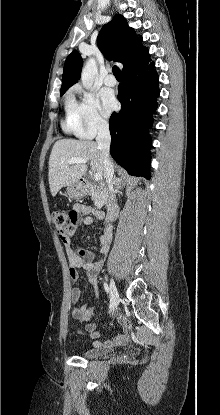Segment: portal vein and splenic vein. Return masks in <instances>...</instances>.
<instances>
[{
  "mask_svg": "<svg viewBox=\"0 0 220 415\" xmlns=\"http://www.w3.org/2000/svg\"><path fill=\"white\" fill-rule=\"evenodd\" d=\"M68 163L69 164H86L87 160L83 159V158H71V159H69ZM94 179H95V181L98 182V181L102 180V175L99 174V173H95Z\"/></svg>",
  "mask_w": 220,
  "mask_h": 415,
  "instance_id": "portal-vein-and-splenic-vein-1",
  "label": "portal vein and splenic vein"
}]
</instances>
